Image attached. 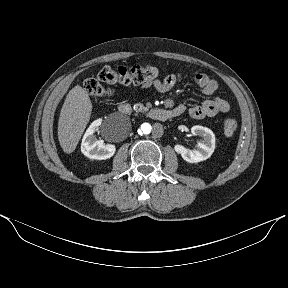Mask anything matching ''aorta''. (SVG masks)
Instances as JSON below:
<instances>
[{"instance_id":"obj_1","label":"aorta","mask_w":288,"mask_h":288,"mask_svg":"<svg viewBox=\"0 0 288 288\" xmlns=\"http://www.w3.org/2000/svg\"><path fill=\"white\" fill-rule=\"evenodd\" d=\"M151 131H152V127L148 123L140 124L137 127V134L140 137H147L150 134Z\"/></svg>"}]
</instances>
